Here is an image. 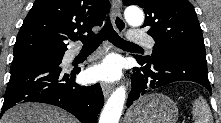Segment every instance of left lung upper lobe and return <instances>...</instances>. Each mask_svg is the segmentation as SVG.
<instances>
[{"mask_svg":"<svg viewBox=\"0 0 221 123\" xmlns=\"http://www.w3.org/2000/svg\"><path fill=\"white\" fill-rule=\"evenodd\" d=\"M126 6L144 9L142 27L155 40L152 58L158 54L191 53L206 57L202 30L188 0H123Z\"/></svg>","mask_w":221,"mask_h":123,"instance_id":"1","label":"left lung upper lobe"}]
</instances>
